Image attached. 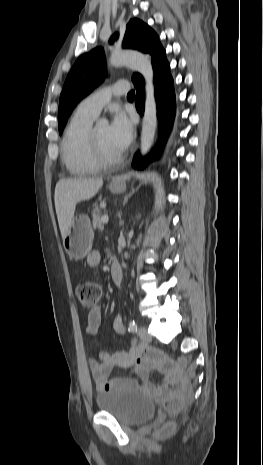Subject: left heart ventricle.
Returning <instances> with one entry per match:
<instances>
[{
  "label": "left heart ventricle",
  "instance_id": "left-heart-ventricle-1",
  "mask_svg": "<svg viewBox=\"0 0 263 465\" xmlns=\"http://www.w3.org/2000/svg\"><path fill=\"white\" fill-rule=\"evenodd\" d=\"M96 136L99 141L100 147L106 156L114 157L121 153V151L114 145L110 138L108 125L97 126Z\"/></svg>",
  "mask_w": 263,
  "mask_h": 465
}]
</instances>
